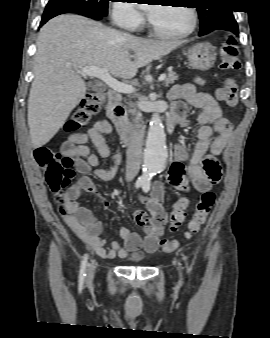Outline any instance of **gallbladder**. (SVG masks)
<instances>
[{
	"label": "gallbladder",
	"mask_w": 270,
	"mask_h": 338,
	"mask_svg": "<svg viewBox=\"0 0 270 338\" xmlns=\"http://www.w3.org/2000/svg\"><path fill=\"white\" fill-rule=\"evenodd\" d=\"M92 89H93L94 91L102 90V88H101L100 86H98V85H94V86L92 87Z\"/></svg>",
	"instance_id": "obj_1"
}]
</instances>
